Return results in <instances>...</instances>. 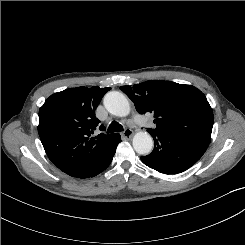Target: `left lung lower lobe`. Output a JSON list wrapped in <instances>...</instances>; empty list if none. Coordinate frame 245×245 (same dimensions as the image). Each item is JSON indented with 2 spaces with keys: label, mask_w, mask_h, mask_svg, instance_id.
Masks as SVG:
<instances>
[{
  "label": "left lung lower lobe",
  "mask_w": 245,
  "mask_h": 245,
  "mask_svg": "<svg viewBox=\"0 0 245 245\" xmlns=\"http://www.w3.org/2000/svg\"><path fill=\"white\" fill-rule=\"evenodd\" d=\"M154 149L151 154L141 156L142 162L163 174H178L194 165L207 147L198 143L166 135L151 134Z\"/></svg>",
  "instance_id": "0a47b994"
}]
</instances>
